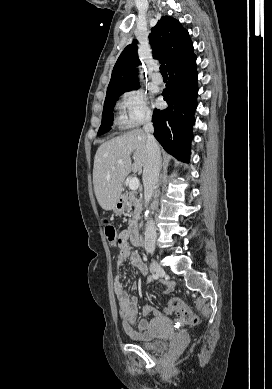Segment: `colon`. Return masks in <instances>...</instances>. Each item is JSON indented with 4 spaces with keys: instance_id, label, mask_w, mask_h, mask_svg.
Wrapping results in <instances>:
<instances>
[{
    "instance_id": "obj_1",
    "label": "colon",
    "mask_w": 272,
    "mask_h": 389,
    "mask_svg": "<svg viewBox=\"0 0 272 389\" xmlns=\"http://www.w3.org/2000/svg\"><path fill=\"white\" fill-rule=\"evenodd\" d=\"M104 232L110 245L114 246L118 243V235L112 224L106 223ZM168 310L177 315L184 324L197 325L199 323V317L179 297H172L169 299Z\"/></svg>"
}]
</instances>
